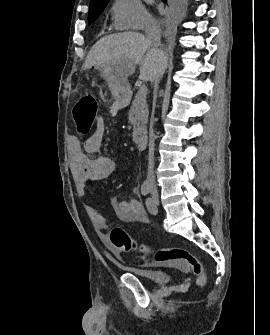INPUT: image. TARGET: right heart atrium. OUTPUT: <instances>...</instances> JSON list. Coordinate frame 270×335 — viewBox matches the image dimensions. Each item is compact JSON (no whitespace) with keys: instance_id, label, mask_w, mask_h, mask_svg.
Instances as JSON below:
<instances>
[{"instance_id":"right-heart-atrium-1","label":"right heart atrium","mask_w":270,"mask_h":335,"mask_svg":"<svg viewBox=\"0 0 270 335\" xmlns=\"http://www.w3.org/2000/svg\"><path fill=\"white\" fill-rule=\"evenodd\" d=\"M113 20L118 29L139 31L140 25H158L139 0H113Z\"/></svg>"}]
</instances>
